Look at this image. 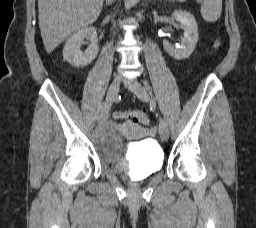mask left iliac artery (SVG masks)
I'll list each match as a JSON object with an SVG mask.
<instances>
[{"label":"left iliac artery","mask_w":256,"mask_h":228,"mask_svg":"<svg viewBox=\"0 0 256 228\" xmlns=\"http://www.w3.org/2000/svg\"><path fill=\"white\" fill-rule=\"evenodd\" d=\"M143 83H144L145 87L149 90V93L152 95V90H151V87L149 86L148 81L146 79H144Z\"/></svg>","instance_id":"obj_1"}]
</instances>
